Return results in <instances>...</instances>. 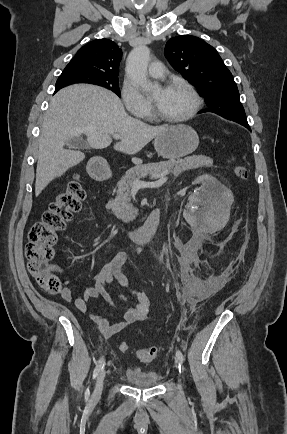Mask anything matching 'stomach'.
<instances>
[{"label":"stomach","mask_w":287,"mask_h":434,"mask_svg":"<svg viewBox=\"0 0 287 434\" xmlns=\"http://www.w3.org/2000/svg\"><path fill=\"white\" fill-rule=\"evenodd\" d=\"M198 145V134L192 127L184 124L169 126L154 140L156 152L169 160L193 153Z\"/></svg>","instance_id":"0dacf381"}]
</instances>
